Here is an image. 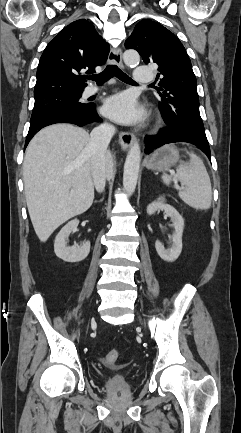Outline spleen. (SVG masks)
<instances>
[{
  "label": "spleen",
  "mask_w": 241,
  "mask_h": 433,
  "mask_svg": "<svg viewBox=\"0 0 241 433\" xmlns=\"http://www.w3.org/2000/svg\"><path fill=\"white\" fill-rule=\"evenodd\" d=\"M189 163L182 162L176 170V178L186 187L179 192V197L190 207L208 210L211 207V181L203 161L194 153L187 151ZM162 180L169 185L172 178L162 175Z\"/></svg>",
  "instance_id": "obj_1"
}]
</instances>
